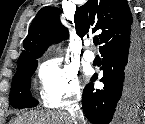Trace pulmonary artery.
I'll list each match as a JSON object with an SVG mask.
<instances>
[{"label":"pulmonary artery","instance_id":"e3ab8cb5","mask_svg":"<svg viewBox=\"0 0 145 124\" xmlns=\"http://www.w3.org/2000/svg\"><path fill=\"white\" fill-rule=\"evenodd\" d=\"M88 46V44H87ZM83 58L88 61V62H92L94 61L95 59V54L93 51L91 50H86L84 53H83Z\"/></svg>","mask_w":145,"mask_h":124}]
</instances>
